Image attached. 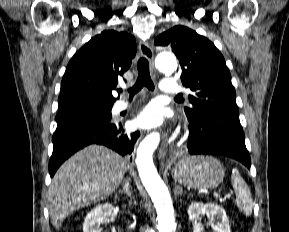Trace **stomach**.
Listing matches in <instances>:
<instances>
[{"label": "stomach", "instance_id": "obj_1", "mask_svg": "<svg viewBox=\"0 0 289 232\" xmlns=\"http://www.w3.org/2000/svg\"><path fill=\"white\" fill-rule=\"evenodd\" d=\"M175 181L193 189H213L224 178L223 165L212 157L197 156L178 162L171 171Z\"/></svg>", "mask_w": 289, "mask_h": 232}]
</instances>
